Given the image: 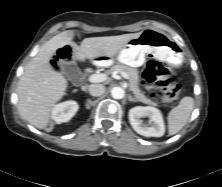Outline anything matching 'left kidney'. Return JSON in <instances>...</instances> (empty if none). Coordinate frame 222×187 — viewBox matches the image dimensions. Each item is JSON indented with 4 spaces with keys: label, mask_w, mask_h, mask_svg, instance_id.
<instances>
[{
    "label": "left kidney",
    "mask_w": 222,
    "mask_h": 187,
    "mask_svg": "<svg viewBox=\"0 0 222 187\" xmlns=\"http://www.w3.org/2000/svg\"><path fill=\"white\" fill-rule=\"evenodd\" d=\"M142 117H148L151 126H147L141 120ZM129 121L132 128L140 135L146 137H161L165 133L163 116L155 107L136 106L129 110Z\"/></svg>",
    "instance_id": "left-kidney-1"
}]
</instances>
